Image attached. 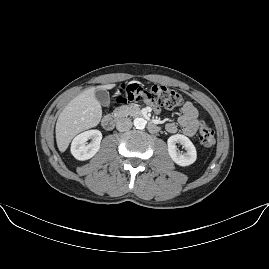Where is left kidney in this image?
I'll list each match as a JSON object with an SVG mask.
<instances>
[{
	"mask_svg": "<svg viewBox=\"0 0 269 269\" xmlns=\"http://www.w3.org/2000/svg\"><path fill=\"white\" fill-rule=\"evenodd\" d=\"M177 143H181L186 149L185 153H181L177 149ZM168 152L171 158L180 165H190L197 158L196 148L190 139L182 134L172 135L168 139Z\"/></svg>",
	"mask_w": 269,
	"mask_h": 269,
	"instance_id": "obj_1",
	"label": "left kidney"
}]
</instances>
